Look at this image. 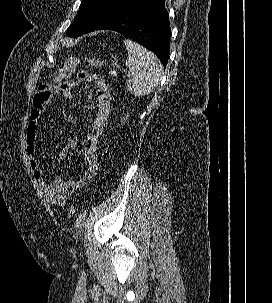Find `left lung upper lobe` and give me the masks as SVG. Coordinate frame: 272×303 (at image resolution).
<instances>
[{"label":"left lung upper lobe","mask_w":272,"mask_h":303,"mask_svg":"<svg viewBox=\"0 0 272 303\" xmlns=\"http://www.w3.org/2000/svg\"><path fill=\"white\" fill-rule=\"evenodd\" d=\"M141 0H82L67 34L76 38Z\"/></svg>","instance_id":"1"}]
</instances>
